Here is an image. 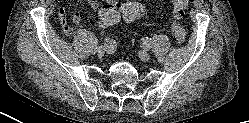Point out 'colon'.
I'll return each mask as SVG.
<instances>
[{
    "mask_svg": "<svg viewBox=\"0 0 249 123\" xmlns=\"http://www.w3.org/2000/svg\"><path fill=\"white\" fill-rule=\"evenodd\" d=\"M171 2L173 4L171 32L176 41L183 44L186 41V31L181 22L185 16L188 0H171ZM144 12V6L137 1L106 3L99 11V20L103 26H111L120 18L128 22L135 21Z\"/></svg>",
    "mask_w": 249,
    "mask_h": 123,
    "instance_id": "5ec220e1",
    "label": "colon"
}]
</instances>
